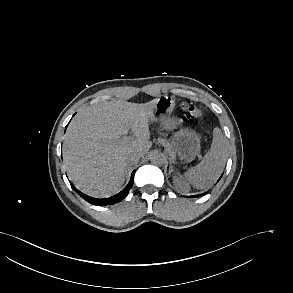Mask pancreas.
<instances>
[{
    "mask_svg": "<svg viewBox=\"0 0 293 293\" xmlns=\"http://www.w3.org/2000/svg\"><path fill=\"white\" fill-rule=\"evenodd\" d=\"M162 143H163V145H164L165 147H167V148L170 147V144H169L168 141H166V140H162Z\"/></svg>",
    "mask_w": 293,
    "mask_h": 293,
    "instance_id": "cf45deb5",
    "label": "pancreas"
}]
</instances>
